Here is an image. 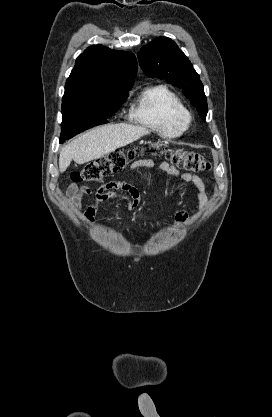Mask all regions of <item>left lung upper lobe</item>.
<instances>
[{"mask_svg": "<svg viewBox=\"0 0 272 417\" xmlns=\"http://www.w3.org/2000/svg\"><path fill=\"white\" fill-rule=\"evenodd\" d=\"M138 59L142 70L150 77L165 78L182 89L201 116L206 119L208 107L204 86L187 56L167 37H158L141 48Z\"/></svg>", "mask_w": 272, "mask_h": 417, "instance_id": "obj_1", "label": "left lung upper lobe"}]
</instances>
